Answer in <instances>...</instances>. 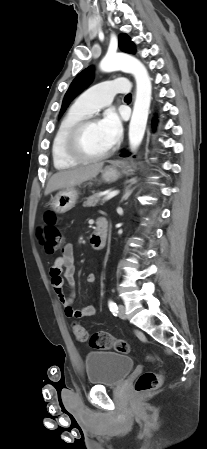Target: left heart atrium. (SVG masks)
Masks as SVG:
<instances>
[{
	"label": "left heart atrium",
	"instance_id": "1",
	"mask_svg": "<svg viewBox=\"0 0 207 449\" xmlns=\"http://www.w3.org/2000/svg\"><path fill=\"white\" fill-rule=\"evenodd\" d=\"M99 125L106 135L109 143L113 146L120 139L122 134V122L120 117L114 111H108Z\"/></svg>",
	"mask_w": 207,
	"mask_h": 449
}]
</instances>
